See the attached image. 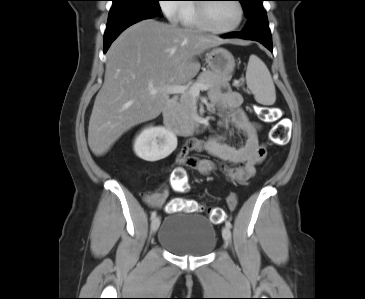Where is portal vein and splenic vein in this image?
I'll return each instance as SVG.
<instances>
[{"mask_svg":"<svg viewBox=\"0 0 365 299\" xmlns=\"http://www.w3.org/2000/svg\"><path fill=\"white\" fill-rule=\"evenodd\" d=\"M208 89H209V86L206 84H196L191 87H188L186 85H173V86H168L162 90L169 94L189 93L193 97H198L201 90L206 91ZM149 90L152 95H155L158 92V90L153 87H151Z\"/></svg>","mask_w":365,"mask_h":299,"instance_id":"1","label":"portal vein and splenic vein"}]
</instances>
